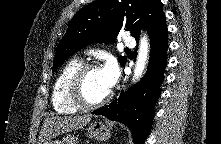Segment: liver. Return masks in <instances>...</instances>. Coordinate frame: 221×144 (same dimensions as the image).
<instances>
[{"mask_svg":"<svg viewBox=\"0 0 221 144\" xmlns=\"http://www.w3.org/2000/svg\"><path fill=\"white\" fill-rule=\"evenodd\" d=\"M92 115L83 116H52L45 119L39 137V144H49L53 138L61 133L77 130L86 126Z\"/></svg>","mask_w":221,"mask_h":144,"instance_id":"obj_1","label":"liver"}]
</instances>
